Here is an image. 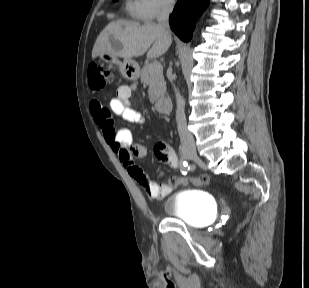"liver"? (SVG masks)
Masks as SVG:
<instances>
[{"label": "liver", "mask_w": 309, "mask_h": 288, "mask_svg": "<svg viewBox=\"0 0 309 288\" xmlns=\"http://www.w3.org/2000/svg\"><path fill=\"white\" fill-rule=\"evenodd\" d=\"M113 40L119 42V48L113 46ZM171 43L172 38L166 36L156 23L145 22L141 25L138 22L116 20L110 22L97 37L92 58L101 53H110L125 59L142 56L148 50L147 57L155 58L165 54Z\"/></svg>", "instance_id": "liver-1"}]
</instances>
